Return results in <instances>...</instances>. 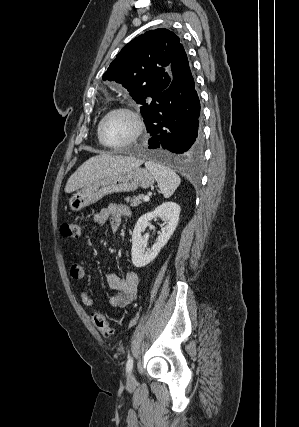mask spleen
<instances>
[{"instance_id":"3e777b00","label":"spleen","mask_w":299,"mask_h":427,"mask_svg":"<svg viewBox=\"0 0 299 427\" xmlns=\"http://www.w3.org/2000/svg\"><path fill=\"white\" fill-rule=\"evenodd\" d=\"M145 167L154 176L163 196L165 198L172 196L181 183V179L176 172L154 161L145 162Z\"/></svg>"}]
</instances>
